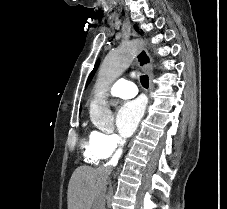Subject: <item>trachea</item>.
Returning <instances> with one entry per match:
<instances>
[{
	"instance_id": "1",
	"label": "trachea",
	"mask_w": 227,
	"mask_h": 209,
	"mask_svg": "<svg viewBox=\"0 0 227 209\" xmlns=\"http://www.w3.org/2000/svg\"><path fill=\"white\" fill-rule=\"evenodd\" d=\"M140 82H141L143 87H145L146 89L148 88L149 80H148V76L147 75L140 76Z\"/></svg>"
}]
</instances>
